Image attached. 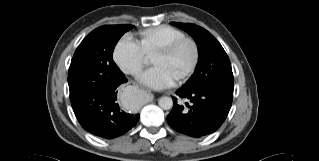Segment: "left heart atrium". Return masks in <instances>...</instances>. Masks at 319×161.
<instances>
[{
	"label": "left heart atrium",
	"mask_w": 319,
	"mask_h": 161,
	"mask_svg": "<svg viewBox=\"0 0 319 161\" xmlns=\"http://www.w3.org/2000/svg\"><path fill=\"white\" fill-rule=\"evenodd\" d=\"M139 80L155 89H165L174 84V79L160 66H153L145 70L140 74Z\"/></svg>",
	"instance_id": "1"
}]
</instances>
